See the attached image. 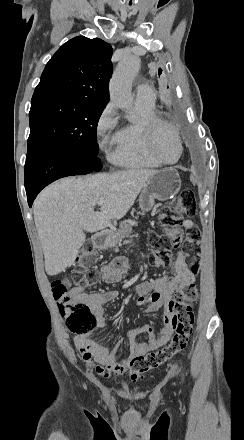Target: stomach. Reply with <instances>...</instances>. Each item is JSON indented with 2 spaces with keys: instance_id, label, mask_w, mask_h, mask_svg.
Wrapping results in <instances>:
<instances>
[{
  "instance_id": "0dacf381",
  "label": "stomach",
  "mask_w": 244,
  "mask_h": 440,
  "mask_svg": "<svg viewBox=\"0 0 244 440\" xmlns=\"http://www.w3.org/2000/svg\"><path fill=\"white\" fill-rule=\"evenodd\" d=\"M181 188V178L175 170V168H163V170H158L156 174H153L146 184L140 194L139 198V208L143 212H149L152 210L155 200H172L178 194ZM122 232H131V226H126L122 224ZM111 238L110 234H106L104 242H102V248H107L110 246Z\"/></svg>"
}]
</instances>
